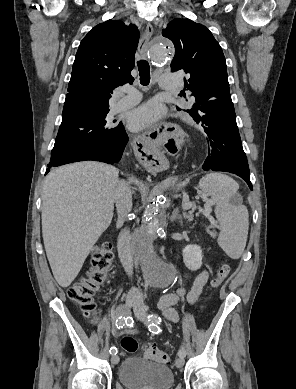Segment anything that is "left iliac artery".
Listing matches in <instances>:
<instances>
[{"label":"left iliac artery","mask_w":296,"mask_h":389,"mask_svg":"<svg viewBox=\"0 0 296 389\" xmlns=\"http://www.w3.org/2000/svg\"><path fill=\"white\" fill-rule=\"evenodd\" d=\"M148 321H149V325H148V328H149V331H151L152 333H155V334H158L160 332V328H159V324L161 322V318L158 317L157 315H148ZM185 349L184 347H181L178 351V356L179 357H185Z\"/></svg>","instance_id":"obj_1"}]
</instances>
